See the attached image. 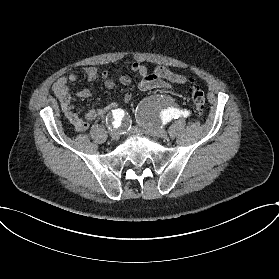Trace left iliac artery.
<instances>
[{
  "label": "left iliac artery",
  "instance_id": "1",
  "mask_svg": "<svg viewBox=\"0 0 279 279\" xmlns=\"http://www.w3.org/2000/svg\"><path fill=\"white\" fill-rule=\"evenodd\" d=\"M183 115L184 117L189 116L190 112L185 110L184 112L181 110L179 111L176 108L173 109H167L166 111L163 112L162 116V123L165 125L169 121H171L172 118L177 119L180 115Z\"/></svg>",
  "mask_w": 279,
  "mask_h": 279
}]
</instances>
